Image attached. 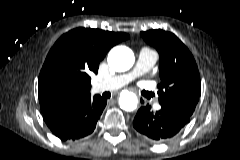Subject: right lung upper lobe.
Masks as SVG:
<instances>
[{"label":"right lung upper lobe","instance_id":"1","mask_svg":"<svg viewBox=\"0 0 240 160\" xmlns=\"http://www.w3.org/2000/svg\"><path fill=\"white\" fill-rule=\"evenodd\" d=\"M129 35L92 28H76L62 35L49 51L38 79L42 113L73 104L90 95V75L109 49Z\"/></svg>","mask_w":240,"mask_h":160}]
</instances>
